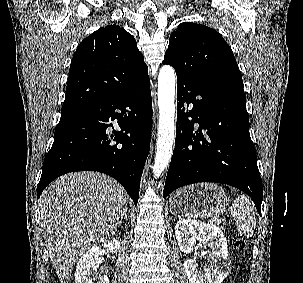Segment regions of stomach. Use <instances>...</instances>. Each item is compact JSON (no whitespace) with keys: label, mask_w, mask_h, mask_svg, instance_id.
I'll use <instances>...</instances> for the list:
<instances>
[{"label":"stomach","mask_w":303,"mask_h":283,"mask_svg":"<svg viewBox=\"0 0 303 283\" xmlns=\"http://www.w3.org/2000/svg\"><path fill=\"white\" fill-rule=\"evenodd\" d=\"M225 191L214 183H200L176 191L169 200L170 211L178 216L208 218L227 206Z\"/></svg>","instance_id":"1"}]
</instances>
